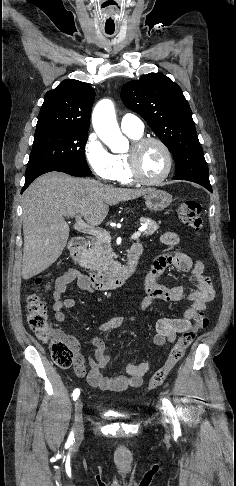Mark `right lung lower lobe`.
<instances>
[{
	"label": "right lung lower lobe",
	"mask_w": 236,
	"mask_h": 486,
	"mask_svg": "<svg viewBox=\"0 0 236 486\" xmlns=\"http://www.w3.org/2000/svg\"><path fill=\"white\" fill-rule=\"evenodd\" d=\"M51 171H60L77 177H85L91 174V171L89 169H84L79 167L53 165V164H38V165L30 166L27 167L26 174H25V184L22 188L21 193L25 191V189L38 176Z\"/></svg>",
	"instance_id": "obj_1"
}]
</instances>
